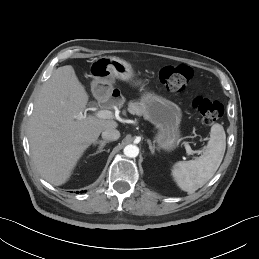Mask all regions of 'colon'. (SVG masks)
<instances>
[{
	"label": "colon",
	"instance_id": "1",
	"mask_svg": "<svg viewBox=\"0 0 259 259\" xmlns=\"http://www.w3.org/2000/svg\"><path fill=\"white\" fill-rule=\"evenodd\" d=\"M193 77V70L187 65L165 66L159 72V79L167 91L174 94H183ZM195 110L201 116L205 125L215 123L224 112L222 104L205 97H195L192 101Z\"/></svg>",
	"mask_w": 259,
	"mask_h": 259
}]
</instances>
